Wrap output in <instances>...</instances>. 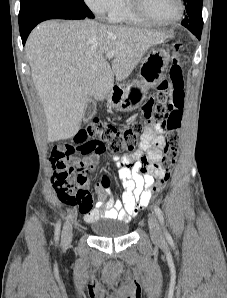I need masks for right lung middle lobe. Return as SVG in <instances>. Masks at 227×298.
Wrapping results in <instances>:
<instances>
[{"label": "right lung middle lobe", "instance_id": "1", "mask_svg": "<svg viewBox=\"0 0 227 298\" xmlns=\"http://www.w3.org/2000/svg\"><path fill=\"white\" fill-rule=\"evenodd\" d=\"M58 11L93 17L83 0H21L19 25L37 14Z\"/></svg>", "mask_w": 227, "mask_h": 298}]
</instances>
